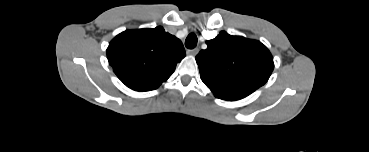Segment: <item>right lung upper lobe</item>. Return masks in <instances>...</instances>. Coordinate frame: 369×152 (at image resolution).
Masks as SVG:
<instances>
[{"label": "right lung upper lobe", "mask_w": 369, "mask_h": 152, "mask_svg": "<svg viewBox=\"0 0 369 152\" xmlns=\"http://www.w3.org/2000/svg\"><path fill=\"white\" fill-rule=\"evenodd\" d=\"M185 55L182 42L160 26L124 31L107 48L114 73L135 91L158 88Z\"/></svg>", "instance_id": "right-lung-upper-lobe-1"}]
</instances>
